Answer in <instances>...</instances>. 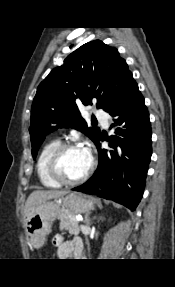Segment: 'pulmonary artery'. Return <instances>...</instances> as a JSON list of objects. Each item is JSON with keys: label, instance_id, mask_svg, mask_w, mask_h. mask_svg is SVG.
I'll use <instances>...</instances> for the list:
<instances>
[{"label": "pulmonary artery", "instance_id": "e3ab8cb5", "mask_svg": "<svg viewBox=\"0 0 175 287\" xmlns=\"http://www.w3.org/2000/svg\"><path fill=\"white\" fill-rule=\"evenodd\" d=\"M96 115L102 120V122L105 126H108L109 123H108L107 117H106L105 113L103 112V110H101V109L97 110Z\"/></svg>", "mask_w": 175, "mask_h": 287}]
</instances>
